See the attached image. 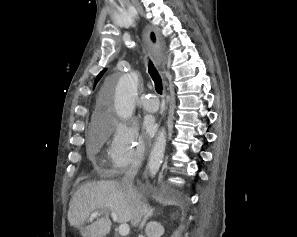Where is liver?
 <instances>
[{
    "label": "liver",
    "mask_w": 297,
    "mask_h": 237,
    "mask_svg": "<svg viewBox=\"0 0 297 237\" xmlns=\"http://www.w3.org/2000/svg\"><path fill=\"white\" fill-rule=\"evenodd\" d=\"M96 210L115 212L120 223L132 220L129 200L116 181L88 182L82 185L69 204L70 226L79 229L83 237H105L111 230V221L107 216L84 226L90 214Z\"/></svg>",
    "instance_id": "1"
}]
</instances>
